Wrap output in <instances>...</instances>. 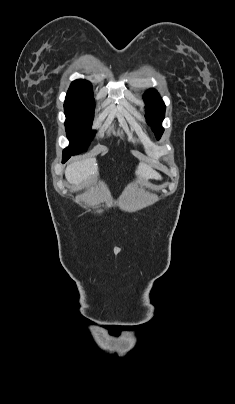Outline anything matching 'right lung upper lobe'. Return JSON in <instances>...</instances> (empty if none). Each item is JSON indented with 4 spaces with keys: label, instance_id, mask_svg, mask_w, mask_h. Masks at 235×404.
<instances>
[{
    "label": "right lung upper lobe",
    "instance_id": "right-lung-upper-lobe-1",
    "mask_svg": "<svg viewBox=\"0 0 235 404\" xmlns=\"http://www.w3.org/2000/svg\"><path fill=\"white\" fill-rule=\"evenodd\" d=\"M65 101L77 103L94 102L91 83L83 79L73 81L70 85Z\"/></svg>",
    "mask_w": 235,
    "mask_h": 404
}]
</instances>
